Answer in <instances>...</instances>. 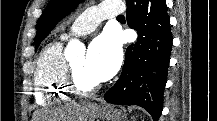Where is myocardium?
Instances as JSON below:
<instances>
[{"mask_svg": "<svg viewBox=\"0 0 217 121\" xmlns=\"http://www.w3.org/2000/svg\"><path fill=\"white\" fill-rule=\"evenodd\" d=\"M65 84L69 93L80 97H88L100 88L99 83L89 86L82 84L77 77L71 62H67L66 64Z\"/></svg>", "mask_w": 217, "mask_h": 121, "instance_id": "1", "label": "myocardium"}]
</instances>
